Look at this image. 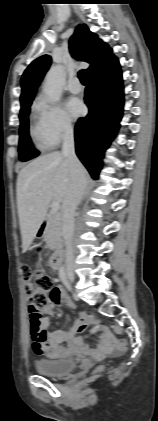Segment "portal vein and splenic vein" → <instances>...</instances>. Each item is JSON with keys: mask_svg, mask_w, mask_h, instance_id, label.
<instances>
[{"mask_svg": "<svg viewBox=\"0 0 158 421\" xmlns=\"http://www.w3.org/2000/svg\"><path fill=\"white\" fill-rule=\"evenodd\" d=\"M52 211L57 212L60 208V203L58 201H54L51 205Z\"/></svg>", "mask_w": 158, "mask_h": 421, "instance_id": "obj_1", "label": "portal vein and splenic vein"}]
</instances>
